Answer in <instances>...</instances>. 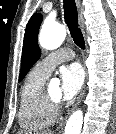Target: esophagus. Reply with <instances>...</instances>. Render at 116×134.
<instances>
[{
    "label": "esophagus",
    "mask_w": 116,
    "mask_h": 134,
    "mask_svg": "<svg viewBox=\"0 0 116 134\" xmlns=\"http://www.w3.org/2000/svg\"><path fill=\"white\" fill-rule=\"evenodd\" d=\"M76 3H77L78 6H80L79 0H76ZM86 77H87V71H86ZM85 88H86V81H85V83H84V85H83V87H82V89L80 91V94H79V96H78V98H77V100H76V102H75V104H74V106L72 108V111L75 110V108L80 104V102H81V100H82V98H83V96L85 94ZM66 120H67V117L57 127V132H61L63 130L64 125L66 123Z\"/></svg>",
    "instance_id": "34e87169"
}]
</instances>
